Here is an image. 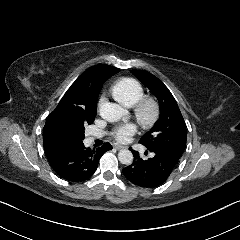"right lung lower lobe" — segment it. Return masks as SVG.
Wrapping results in <instances>:
<instances>
[{
  "label": "right lung lower lobe",
  "instance_id": "right-lung-lower-lobe-1",
  "mask_svg": "<svg viewBox=\"0 0 240 240\" xmlns=\"http://www.w3.org/2000/svg\"><path fill=\"white\" fill-rule=\"evenodd\" d=\"M112 146L105 143L98 149L91 150L84 144L76 147H57L45 151L54 172L70 182L87 180L96 171L101 156Z\"/></svg>",
  "mask_w": 240,
  "mask_h": 240
}]
</instances>
